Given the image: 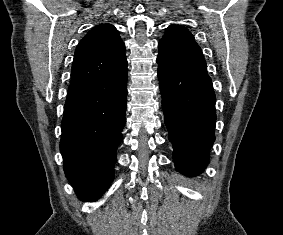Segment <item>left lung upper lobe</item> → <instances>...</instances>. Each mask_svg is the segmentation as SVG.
Segmentation results:
<instances>
[{"mask_svg":"<svg viewBox=\"0 0 283 235\" xmlns=\"http://www.w3.org/2000/svg\"><path fill=\"white\" fill-rule=\"evenodd\" d=\"M158 46L159 64L207 74L202 50L186 28L180 25L169 26Z\"/></svg>","mask_w":283,"mask_h":235,"instance_id":"1","label":"left lung upper lobe"}]
</instances>
